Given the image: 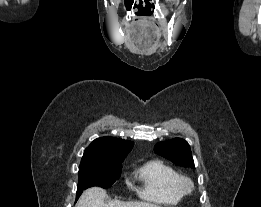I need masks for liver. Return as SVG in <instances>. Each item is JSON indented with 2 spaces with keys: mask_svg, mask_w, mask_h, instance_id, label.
I'll return each mask as SVG.
<instances>
[{
  "mask_svg": "<svg viewBox=\"0 0 261 207\" xmlns=\"http://www.w3.org/2000/svg\"><path fill=\"white\" fill-rule=\"evenodd\" d=\"M106 191L99 187L88 188L83 192L76 207H160L148 202H123L112 200L105 203Z\"/></svg>",
  "mask_w": 261,
  "mask_h": 207,
  "instance_id": "6515ba94",
  "label": "liver"
}]
</instances>
